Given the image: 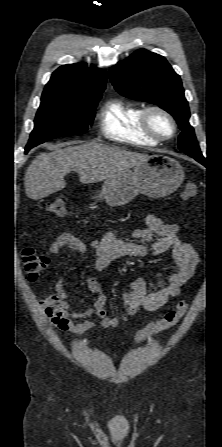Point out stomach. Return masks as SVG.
Here are the masks:
<instances>
[{"instance_id":"obj_1","label":"stomach","mask_w":222,"mask_h":447,"mask_svg":"<svg viewBox=\"0 0 222 447\" xmlns=\"http://www.w3.org/2000/svg\"><path fill=\"white\" fill-rule=\"evenodd\" d=\"M184 178L182 166L175 159L154 154L127 170L105 179L99 197L110 206H122L139 193L151 198L170 195Z\"/></svg>"}]
</instances>
